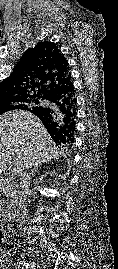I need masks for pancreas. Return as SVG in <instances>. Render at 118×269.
<instances>
[{
  "label": "pancreas",
  "mask_w": 118,
  "mask_h": 269,
  "mask_svg": "<svg viewBox=\"0 0 118 269\" xmlns=\"http://www.w3.org/2000/svg\"><path fill=\"white\" fill-rule=\"evenodd\" d=\"M8 189V185L7 182L4 180L3 182H0V190H7Z\"/></svg>",
  "instance_id": "pancreas-1"
}]
</instances>
